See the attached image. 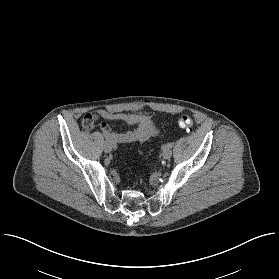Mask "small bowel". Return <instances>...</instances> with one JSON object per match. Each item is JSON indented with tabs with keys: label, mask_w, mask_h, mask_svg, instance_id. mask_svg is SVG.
<instances>
[{
	"label": "small bowel",
	"mask_w": 279,
	"mask_h": 279,
	"mask_svg": "<svg viewBox=\"0 0 279 279\" xmlns=\"http://www.w3.org/2000/svg\"><path fill=\"white\" fill-rule=\"evenodd\" d=\"M96 118L108 121H122L128 124H136L137 128L132 131L115 132L106 123L100 124L101 132L108 136L113 145L122 143L144 142L158 133V127L149 114L117 113L105 109H98L84 116L83 125L86 123L92 128Z\"/></svg>",
	"instance_id": "c3829d8e"
}]
</instances>
